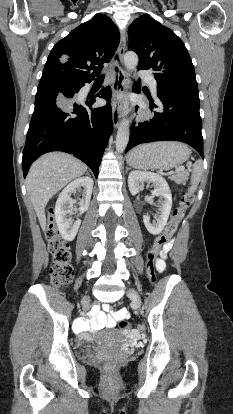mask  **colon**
I'll use <instances>...</instances> for the list:
<instances>
[{"label": "colon", "mask_w": 233, "mask_h": 414, "mask_svg": "<svg viewBox=\"0 0 233 414\" xmlns=\"http://www.w3.org/2000/svg\"><path fill=\"white\" fill-rule=\"evenodd\" d=\"M193 200L191 191L186 193L180 200L178 207L172 212V217L168 222L164 232L159 235L155 241L154 246L149 254L147 263V273L152 283L156 281V266L155 261L162 247L169 244L177 225L182 220L186 210L190 207ZM46 239L48 241V248L53 257V264L50 268L51 283L60 287L71 282L74 271L69 264L70 249L69 244L60 236L58 229L54 224L53 210L49 211V225L46 230ZM121 330L130 331V323L122 320L119 324ZM104 368L107 371H112L114 364L112 361L106 360L103 362Z\"/></svg>", "instance_id": "5ec220e1"}]
</instances>
